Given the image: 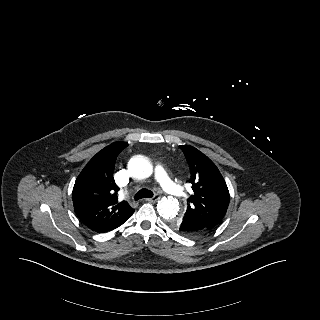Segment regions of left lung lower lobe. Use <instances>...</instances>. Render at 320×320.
Returning <instances> with one entry per match:
<instances>
[{
  "mask_svg": "<svg viewBox=\"0 0 320 320\" xmlns=\"http://www.w3.org/2000/svg\"><path fill=\"white\" fill-rule=\"evenodd\" d=\"M171 228L185 236L194 237L199 234L210 231V229L203 227L201 224H198L193 218L183 217L179 220L178 227H173L172 223L170 224Z\"/></svg>",
  "mask_w": 320,
  "mask_h": 320,
  "instance_id": "obj_1",
  "label": "left lung lower lobe"
}]
</instances>
